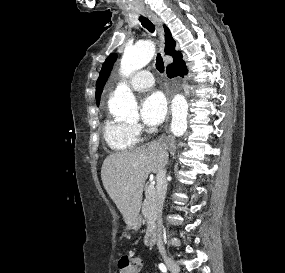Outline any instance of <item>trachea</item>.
Returning a JSON list of instances; mask_svg holds the SVG:
<instances>
[{"mask_svg": "<svg viewBox=\"0 0 285 273\" xmlns=\"http://www.w3.org/2000/svg\"><path fill=\"white\" fill-rule=\"evenodd\" d=\"M139 20L144 28H146L150 33H154V25L149 19L140 16ZM156 68L160 73L164 72V62L160 53H158L156 57Z\"/></svg>", "mask_w": 285, "mask_h": 273, "instance_id": "trachea-1", "label": "trachea"}]
</instances>
